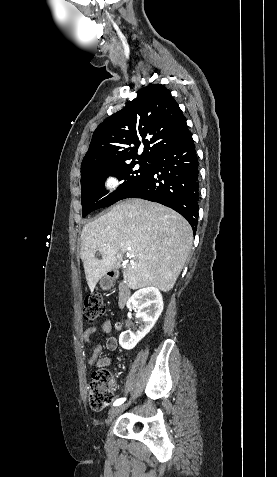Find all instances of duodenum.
I'll return each mask as SVG.
<instances>
[{"instance_id": "410a0bca", "label": "duodenum", "mask_w": 277, "mask_h": 477, "mask_svg": "<svg viewBox=\"0 0 277 477\" xmlns=\"http://www.w3.org/2000/svg\"><path fill=\"white\" fill-rule=\"evenodd\" d=\"M117 276V272L116 271H110L108 273V277L110 280H113L114 278H116ZM131 296V290L130 288L128 287V285L124 282H122L120 285H119V288H118V306L119 308H124L125 305L127 304L129 298Z\"/></svg>"}]
</instances>
